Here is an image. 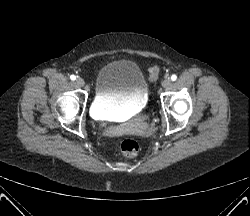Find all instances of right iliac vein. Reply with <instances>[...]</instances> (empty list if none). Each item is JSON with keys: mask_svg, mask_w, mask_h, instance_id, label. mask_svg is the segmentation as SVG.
I'll return each instance as SVG.
<instances>
[{"mask_svg": "<svg viewBox=\"0 0 250 216\" xmlns=\"http://www.w3.org/2000/svg\"><path fill=\"white\" fill-rule=\"evenodd\" d=\"M76 84L82 87L85 85V81L82 78H77Z\"/></svg>", "mask_w": 250, "mask_h": 216, "instance_id": "right-iliac-vein-1", "label": "right iliac vein"}]
</instances>
